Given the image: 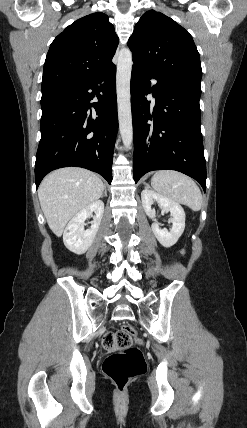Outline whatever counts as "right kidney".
Masks as SVG:
<instances>
[{"instance_id": "ca27d5eb", "label": "right kidney", "mask_w": 247, "mask_h": 428, "mask_svg": "<svg viewBox=\"0 0 247 428\" xmlns=\"http://www.w3.org/2000/svg\"><path fill=\"white\" fill-rule=\"evenodd\" d=\"M89 229L84 230L85 220L93 216ZM104 213V203L96 200L78 212L68 223L63 233V242L67 249L75 254H83L91 246Z\"/></svg>"}]
</instances>
